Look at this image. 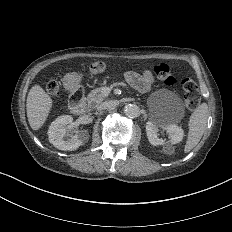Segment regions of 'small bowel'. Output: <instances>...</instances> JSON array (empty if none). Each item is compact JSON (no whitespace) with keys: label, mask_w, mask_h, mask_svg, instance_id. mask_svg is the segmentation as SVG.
<instances>
[{"label":"small bowel","mask_w":232,"mask_h":232,"mask_svg":"<svg viewBox=\"0 0 232 232\" xmlns=\"http://www.w3.org/2000/svg\"><path fill=\"white\" fill-rule=\"evenodd\" d=\"M124 76L136 90L143 93L150 91L157 84V80L151 72L141 74L135 71H126Z\"/></svg>","instance_id":"c3829d8e"}]
</instances>
